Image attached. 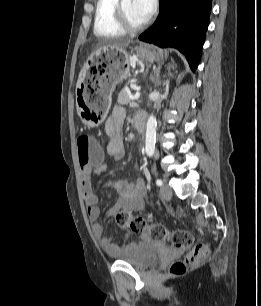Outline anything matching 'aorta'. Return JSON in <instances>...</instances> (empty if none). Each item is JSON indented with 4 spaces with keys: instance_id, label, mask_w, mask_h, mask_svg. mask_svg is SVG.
I'll use <instances>...</instances> for the list:
<instances>
[{
    "instance_id": "aorta-1",
    "label": "aorta",
    "mask_w": 261,
    "mask_h": 306,
    "mask_svg": "<svg viewBox=\"0 0 261 306\" xmlns=\"http://www.w3.org/2000/svg\"><path fill=\"white\" fill-rule=\"evenodd\" d=\"M156 125H157L156 118L153 115H151L147 121L146 143H145V151L149 156L153 155L155 150Z\"/></svg>"
}]
</instances>
